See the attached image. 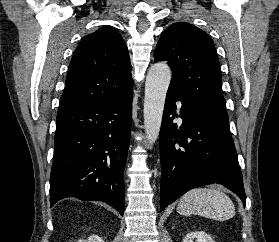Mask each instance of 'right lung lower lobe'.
I'll use <instances>...</instances> for the list:
<instances>
[{
  "label": "right lung lower lobe",
  "instance_id": "obj_1",
  "mask_svg": "<svg viewBox=\"0 0 279 242\" xmlns=\"http://www.w3.org/2000/svg\"><path fill=\"white\" fill-rule=\"evenodd\" d=\"M133 89L121 97L58 111L50 205L67 197L103 201L124 213V167Z\"/></svg>",
  "mask_w": 279,
  "mask_h": 242
}]
</instances>
